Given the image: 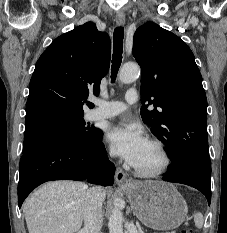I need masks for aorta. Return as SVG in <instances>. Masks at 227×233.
<instances>
[{
  "mask_svg": "<svg viewBox=\"0 0 227 233\" xmlns=\"http://www.w3.org/2000/svg\"><path fill=\"white\" fill-rule=\"evenodd\" d=\"M140 67L135 63L125 64L119 73V80L122 83H132L139 78ZM119 200H115L112 214L110 215L108 227L109 233H123V213L119 207Z\"/></svg>",
  "mask_w": 227,
  "mask_h": 233,
  "instance_id": "762f6f07",
  "label": "aorta"
}]
</instances>
